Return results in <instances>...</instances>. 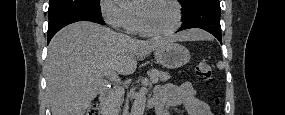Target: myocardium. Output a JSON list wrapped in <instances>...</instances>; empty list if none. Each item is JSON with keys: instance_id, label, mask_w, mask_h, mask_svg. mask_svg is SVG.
Here are the masks:
<instances>
[{"instance_id": "1", "label": "myocardium", "mask_w": 285, "mask_h": 115, "mask_svg": "<svg viewBox=\"0 0 285 115\" xmlns=\"http://www.w3.org/2000/svg\"><path fill=\"white\" fill-rule=\"evenodd\" d=\"M153 1H166L173 6L174 11H175V17H176L175 26L169 30L161 31V32L149 30L148 28L145 27V25L142 22L141 16L137 13L138 14V27L140 31L144 33L145 35L153 36V37H162V36L172 35L180 28L181 23H182L181 5L176 0H146L144 2H153Z\"/></svg>"}]
</instances>
